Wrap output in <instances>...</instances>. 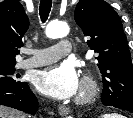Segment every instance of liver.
Masks as SVG:
<instances>
[{"label":"liver","mask_w":133,"mask_h":118,"mask_svg":"<svg viewBox=\"0 0 133 118\" xmlns=\"http://www.w3.org/2000/svg\"><path fill=\"white\" fill-rule=\"evenodd\" d=\"M0 118H27V115L18 110L0 105Z\"/></svg>","instance_id":"obj_1"}]
</instances>
